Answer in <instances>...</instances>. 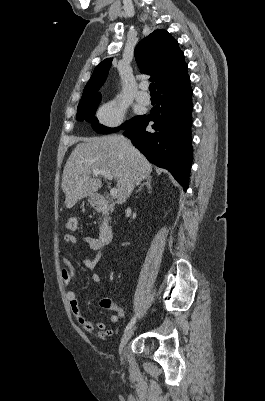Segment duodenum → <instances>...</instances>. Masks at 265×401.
Returning <instances> with one entry per match:
<instances>
[{"mask_svg": "<svg viewBox=\"0 0 265 401\" xmlns=\"http://www.w3.org/2000/svg\"><path fill=\"white\" fill-rule=\"evenodd\" d=\"M94 208L101 213L106 214L109 210V203L103 197H96L93 202ZM99 239L103 245H108L113 240V230L109 224L103 223L99 231Z\"/></svg>", "mask_w": 265, "mask_h": 401, "instance_id": "obj_1", "label": "duodenum"}]
</instances>
